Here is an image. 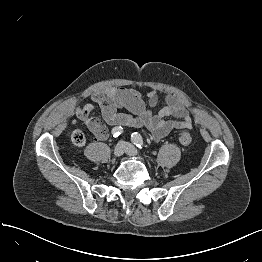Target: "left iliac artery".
Returning <instances> with one entry per match:
<instances>
[{
  "mask_svg": "<svg viewBox=\"0 0 262 262\" xmlns=\"http://www.w3.org/2000/svg\"><path fill=\"white\" fill-rule=\"evenodd\" d=\"M131 139H132V142L139 148V149H142L143 148V138L142 136L135 132L131 135Z\"/></svg>",
  "mask_w": 262,
  "mask_h": 262,
  "instance_id": "obj_1",
  "label": "left iliac artery"
}]
</instances>
